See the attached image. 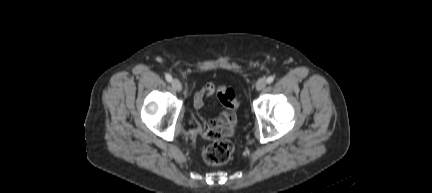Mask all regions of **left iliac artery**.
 Masks as SVG:
<instances>
[{"label": "left iliac artery", "mask_w": 432, "mask_h": 193, "mask_svg": "<svg viewBox=\"0 0 432 193\" xmlns=\"http://www.w3.org/2000/svg\"><path fill=\"white\" fill-rule=\"evenodd\" d=\"M273 81H274V77H273V76H269V77L267 78V83H268V84H271Z\"/></svg>", "instance_id": "1"}]
</instances>
